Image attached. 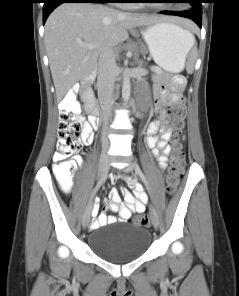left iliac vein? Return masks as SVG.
Listing matches in <instances>:
<instances>
[{"mask_svg": "<svg viewBox=\"0 0 239 296\" xmlns=\"http://www.w3.org/2000/svg\"><path fill=\"white\" fill-rule=\"evenodd\" d=\"M133 170H134V166L132 164H129L128 166L125 167V171H127V172H132ZM149 213H150L151 222H152L154 228L158 229L159 217H158V214H157L155 208L152 205L149 206Z\"/></svg>", "mask_w": 239, "mask_h": 296, "instance_id": "1", "label": "left iliac vein"}]
</instances>
